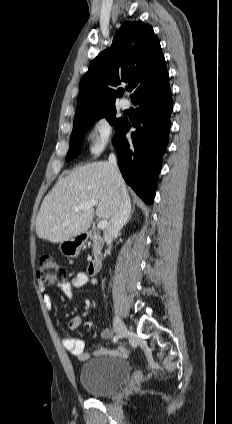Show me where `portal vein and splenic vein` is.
I'll list each match as a JSON object with an SVG mask.
<instances>
[{"label": "portal vein and splenic vein", "instance_id": "portal-vein-and-splenic-vein-1", "mask_svg": "<svg viewBox=\"0 0 232 424\" xmlns=\"http://www.w3.org/2000/svg\"><path fill=\"white\" fill-rule=\"evenodd\" d=\"M97 204H98L97 200H90V201L84 202V203L80 204L79 206L75 207L74 210L79 211V210H83V209H88V208L97 206ZM107 226H108L107 220H101L97 224V227L99 229H105Z\"/></svg>", "mask_w": 232, "mask_h": 424}]
</instances>
